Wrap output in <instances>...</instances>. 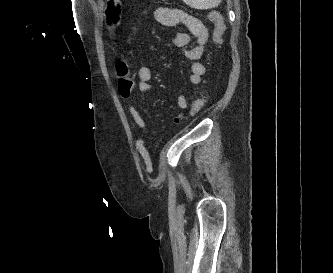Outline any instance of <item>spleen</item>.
Wrapping results in <instances>:
<instances>
[{
  "label": "spleen",
  "instance_id": "spleen-1",
  "mask_svg": "<svg viewBox=\"0 0 333 273\" xmlns=\"http://www.w3.org/2000/svg\"><path fill=\"white\" fill-rule=\"evenodd\" d=\"M222 0H183L187 5L195 9H211L217 7Z\"/></svg>",
  "mask_w": 333,
  "mask_h": 273
}]
</instances>
